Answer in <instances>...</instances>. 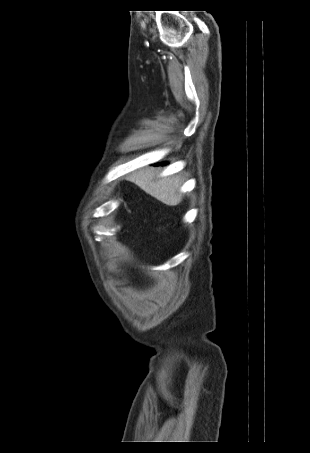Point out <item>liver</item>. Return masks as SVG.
<instances>
[{"label": "liver", "mask_w": 310, "mask_h": 453, "mask_svg": "<svg viewBox=\"0 0 310 453\" xmlns=\"http://www.w3.org/2000/svg\"><path fill=\"white\" fill-rule=\"evenodd\" d=\"M127 179L168 206H176L182 201L179 177H160L155 169L146 168L132 173Z\"/></svg>", "instance_id": "1"}]
</instances>
